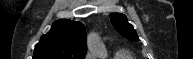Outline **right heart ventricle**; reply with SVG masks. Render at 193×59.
I'll list each match as a JSON object with an SVG mask.
<instances>
[{
	"instance_id": "1",
	"label": "right heart ventricle",
	"mask_w": 193,
	"mask_h": 59,
	"mask_svg": "<svg viewBox=\"0 0 193 59\" xmlns=\"http://www.w3.org/2000/svg\"><path fill=\"white\" fill-rule=\"evenodd\" d=\"M113 59H135V58L128 51H126V50H119L114 55Z\"/></svg>"
}]
</instances>
